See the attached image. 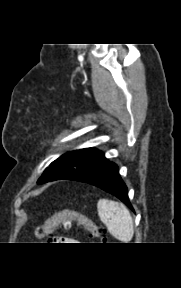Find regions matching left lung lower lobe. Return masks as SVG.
Masks as SVG:
<instances>
[{"instance_id": "obj_1", "label": "left lung lower lobe", "mask_w": 181, "mask_h": 288, "mask_svg": "<svg viewBox=\"0 0 181 288\" xmlns=\"http://www.w3.org/2000/svg\"><path fill=\"white\" fill-rule=\"evenodd\" d=\"M79 181L97 186L119 198L131 210L133 207L128 198V191L121 179L118 166L109 160L90 175ZM134 211V210H133Z\"/></svg>"}]
</instances>
